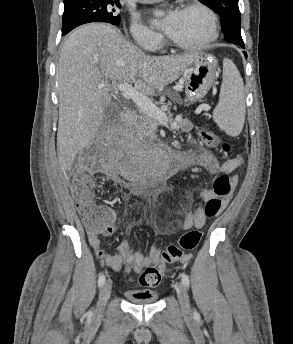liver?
Masks as SVG:
<instances>
[{"label":"liver","instance_id":"1","mask_svg":"<svg viewBox=\"0 0 293 344\" xmlns=\"http://www.w3.org/2000/svg\"><path fill=\"white\" fill-rule=\"evenodd\" d=\"M197 55H146L106 24L85 25L71 33L56 72L60 165L71 170L78 152L94 139L111 104L108 81L133 84L143 95H152L178 79Z\"/></svg>","mask_w":293,"mask_h":344}]
</instances>
